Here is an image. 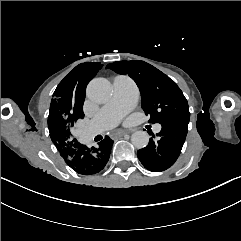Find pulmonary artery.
Masks as SVG:
<instances>
[{
	"instance_id": "obj_1",
	"label": "pulmonary artery",
	"mask_w": 241,
	"mask_h": 241,
	"mask_svg": "<svg viewBox=\"0 0 241 241\" xmlns=\"http://www.w3.org/2000/svg\"><path fill=\"white\" fill-rule=\"evenodd\" d=\"M114 93L111 99L101 107L98 115L90 120L93 130L107 131L119 122V117L127 115L137 101L136 87L128 76L116 77L113 81ZM154 132L162 130L161 125L153 127Z\"/></svg>"
}]
</instances>
